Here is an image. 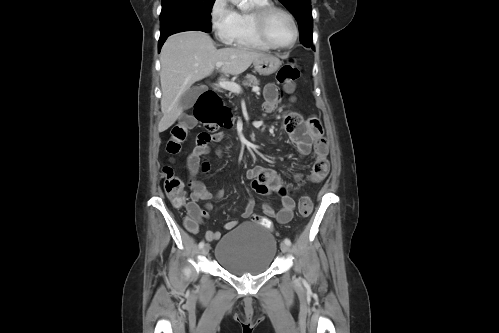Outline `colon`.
Masks as SVG:
<instances>
[{
    "mask_svg": "<svg viewBox=\"0 0 499 333\" xmlns=\"http://www.w3.org/2000/svg\"><path fill=\"white\" fill-rule=\"evenodd\" d=\"M300 75L299 68L293 62L286 63L280 67L277 73V80L279 83L285 85L289 92L294 89V84ZM212 101L215 108V116L206 127L212 131L217 130L219 127L226 125L230 121V111L224 106L219 96L214 93ZM196 124L194 118H185L181 122L174 125L170 131V136L166 144V150L169 154H177L182 147L183 142L186 140L188 132ZM162 177L164 179V190L168 198L176 205L182 206L185 203V191L182 180L176 175L171 165H165L162 169ZM313 203L310 197L304 196L299 200L298 212L302 217H307L311 214ZM188 210V217L186 225L189 229L197 227V220L200 216L198 209L192 208ZM251 220L260 224L266 229L271 230L273 224L267 217L254 214Z\"/></svg>",
    "mask_w": 499,
    "mask_h": 333,
    "instance_id": "obj_1",
    "label": "colon"
}]
</instances>
